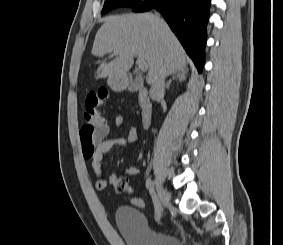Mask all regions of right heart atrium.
I'll return each instance as SVG.
<instances>
[{
    "label": "right heart atrium",
    "instance_id": "right-heart-atrium-1",
    "mask_svg": "<svg viewBox=\"0 0 283 245\" xmlns=\"http://www.w3.org/2000/svg\"><path fill=\"white\" fill-rule=\"evenodd\" d=\"M136 1H138V2H143V1H145V0H136Z\"/></svg>",
    "mask_w": 283,
    "mask_h": 245
}]
</instances>
